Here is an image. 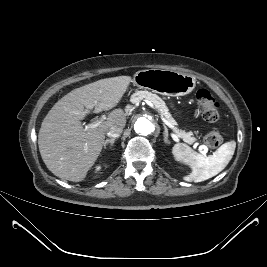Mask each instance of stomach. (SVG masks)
<instances>
[{"label": "stomach", "instance_id": "stomach-1", "mask_svg": "<svg viewBox=\"0 0 267 267\" xmlns=\"http://www.w3.org/2000/svg\"><path fill=\"white\" fill-rule=\"evenodd\" d=\"M134 84L140 89H148L165 96H184L196 86L195 77L171 70L147 69L138 71Z\"/></svg>", "mask_w": 267, "mask_h": 267}]
</instances>
